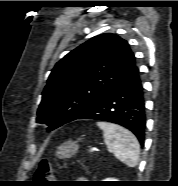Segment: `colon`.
Wrapping results in <instances>:
<instances>
[{
    "label": "colon",
    "mask_w": 178,
    "mask_h": 186,
    "mask_svg": "<svg viewBox=\"0 0 178 186\" xmlns=\"http://www.w3.org/2000/svg\"><path fill=\"white\" fill-rule=\"evenodd\" d=\"M35 178L43 182H51L53 179V167L49 160L43 159L40 161Z\"/></svg>",
    "instance_id": "colon-1"
}]
</instances>
